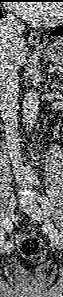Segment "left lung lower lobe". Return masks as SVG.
Here are the masks:
<instances>
[{
    "label": "left lung lower lobe",
    "mask_w": 63,
    "mask_h": 297,
    "mask_svg": "<svg viewBox=\"0 0 63 297\" xmlns=\"http://www.w3.org/2000/svg\"><path fill=\"white\" fill-rule=\"evenodd\" d=\"M52 36H61L63 35V26L60 27L59 29L51 31Z\"/></svg>",
    "instance_id": "left-lung-lower-lobe-1"
}]
</instances>
